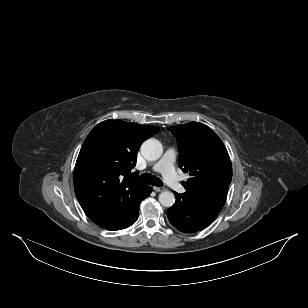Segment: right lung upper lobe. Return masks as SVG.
<instances>
[{"label": "right lung upper lobe", "instance_id": "right-lung-upper-lobe-1", "mask_svg": "<svg viewBox=\"0 0 308 308\" xmlns=\"http://www.w3.org/2000/svg\"><path fill=\"white\" fill-rule=\"evenodd\" d=\"M159 127L106 120L86 137L74 169L76 197L86 215L103 228L121 224L146 185L131 173L143 141Z\"/></svg>", "mask_w": 308, "mask_h": 308}]
</instances>
